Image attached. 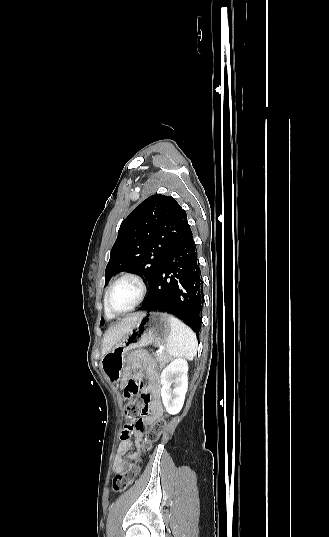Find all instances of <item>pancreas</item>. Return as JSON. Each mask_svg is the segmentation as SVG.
Returning a JSON list of instances; mask_svg holds the SVG:
<instances>
[{
	"mask_svg": "<svg viewBox=\"0 0 329 537\" xmlns=\"http://www.w3.org/2000/svg\"><path fill=\"white\" fill-rule=\"evenodd\" d=\"M155 356L161 366H164L168 361L171 360V357L168 355L166 351H163L162 353L156 352Z\"/></svg>",
	"mask_w": 329,
	"mask_h": 537,
	"instance_id": "1",
	"label": "pancreas"
}]
</instances>
